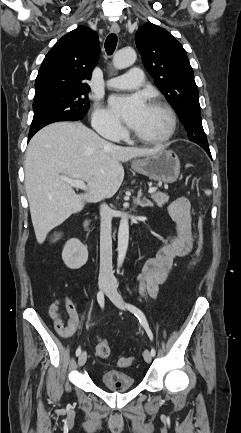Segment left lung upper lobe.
Returning <instances> with one entry per match:
<instances>
[{
  "instance_id": "1",
  "label": "left lung upper lobe",
  "mask_w": 241,
  "mask_h": 433,
  "mask_svg": "<svg viewBox=\"0 0 241 433\" xmlns=\"http://www.w3.org/2000/svg\"><path fill=\"white\" fill-rule=\"evenodd\" d=\"M135 42L156 86L178 111L189 139L202 148L209 147L201 122L198 88L182 45L152 23L138 28Z\"/></svg>"
}]
</instances>
